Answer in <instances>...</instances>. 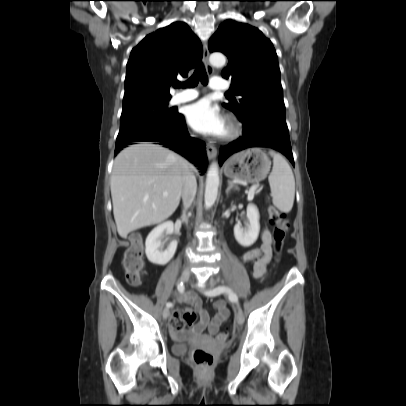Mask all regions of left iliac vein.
<instances>
[{
	"label": "left iliac vein",
	"instance_id": "obj_1",
	"mask_svg": "<svg viewBox=\"0 0 406 406\" xmlns=\"http://www.w3.org/2000/svg\"><path fill=\"white\" fill-rule=\"evenodd\" d=\"M210 289H211V287H207V290H210ZM236 321L239 326H242L244 323V315L240 309L237 311Z\"/></svg>",
	"mask_w": 406,
	"mask_h": 406
}]
</instances>
